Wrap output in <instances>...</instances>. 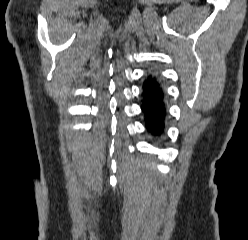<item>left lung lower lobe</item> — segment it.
Segmentation results:
<instances>
[{
  "label": "left lung lower lobe",
  "mask_w": 248,
  "mask_h": 240,
  "mask_svg": "<svg viewBox=\"0 0 248 240\" xmlns=\"http://www.w3.org/2000/svg\"><path fill=\"white\" fill-rule=\"evenodd\" d=\"M141 110L149 134L160 137L164 134L168 112L165 92L157 77L148 76L142 86Z\"/></svg>",
  "instance_id": "obj_1"
}]
</instances>
